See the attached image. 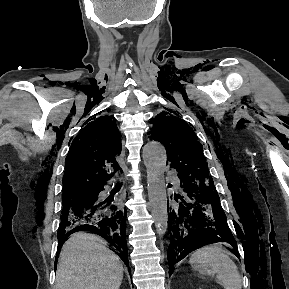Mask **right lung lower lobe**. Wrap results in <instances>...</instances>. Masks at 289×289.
Instances as JSON below:
<instances>
[{
    "label": "right lung lower lobe",
    "instance_id": "98d812e1",
    "mask_svg": "<svg viewBox=\"0 0 289 289\" xmlns=\"http://www.w3.org/2000/svg\"><path fill=\"white\" fill-rule=\"evenodd\" d=\"M105 184L89 191L90 198L82 204L73 207L69 212L63 211L57 232L56 264L60 249L67 237L75 232L88 231L110 242L114 247L113 251L130 269L126 244V209L121 211L115 204H112V200H99V193L104 190Z\"/></svg>",
    "mask_w": 289,
    "mask_h": 289
}]
</instances>
